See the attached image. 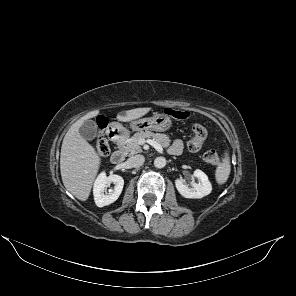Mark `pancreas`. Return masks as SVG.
Wrapping results in <instances>:
<instances>
[{
	"instance_id": "obj_1",
	"label": "pancreas",
	"mask_w": 296,
	"mask_h": 296,
	"mask_svg": "<svg viewBox=\"0 0 296 296\" xmlns=\"http://www.w3.org/2000/svg\"><path fill=\"white\" fill-rule=\"evenodd\" d=\"M152 138L158 144L163 147H168L170 145V137L167 134L153 133L151 131H141L135 133L127 142L124 147V151L129 155H134L142 152V148L139 144V141L142 139Z\"/></svg>"
}]
</instances>
